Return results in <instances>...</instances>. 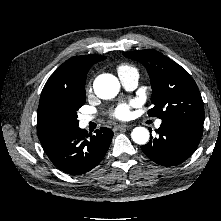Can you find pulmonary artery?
<instances>
[{"label":"pulmonary artery","mask_w":221,"mask_h":221,"mask_svg":"<svg viewBox=\"0 0 221 221\" xmlns=\"http://www.w3.org/2000/svg\"><path fill=\"white\" fill-rule=\"evenodd\" d=\"M119 79L121 81V84L123 87L127 90H133L136 88L139 80V74L136 70H128V71H123L119 72ZM93 117L91 116H83L81 119V122L83 125L88 124L89 121H91ZM162 121L157 120L155 125L156 127H160Z\"/></svg>","instance_id":"e3ab8cb5"}]
</instances>
